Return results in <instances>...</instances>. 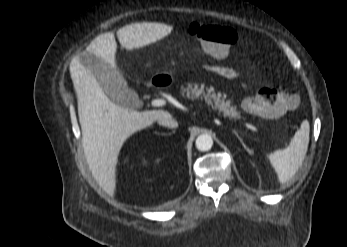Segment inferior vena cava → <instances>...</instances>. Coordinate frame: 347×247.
<instances>
[{"label": "inferior vena cava", "mask_w": 347, "mask_h": 247, "mask_svg": "<svg viewBox=\"0 0 347 247\" xmlns=\"http://www.w3.org/2000/svg\"><path fill=\"white\" fill-rule=\"evenodd\" d=\"M158 123L160 125L166 126L168 128H177L178 122L172 118L168 112H163L162 115L158 118Z\"/></svg>", "instance_id": "1"}]
</instances>
